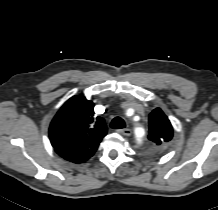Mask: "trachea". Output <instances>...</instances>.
Masks as SVG:
<instances>
[{"mask_svg": "<svg viewBox=\"0 0 218 210\" xmlns=\"http://www.w3.org/2000/svg\"><path fill=\"white\" fill-rule=\"evenodd\" d=\"M111 128L113 129H122L125 128V122L122 118L120 117H115L111 124H110Z\"/></svg>", "mask_w": 218, "mask_h": 210, "instance_id": "trachea-1", "label": "trachea"}]
</instances>
